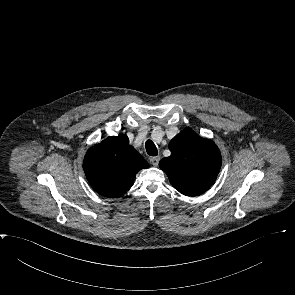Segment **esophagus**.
<instances>
[{
  "mask_svg": "<svg viewBox=\"0 0 295 295\" xmlns=\"http://www.w3.org/2000/svg\"><path fill=\"white\" fill-rule=\"evenodd\" d=\"M149 160L152 165L157 166L160 161V156L150 157Z\"/></svg>",
  "mask_w": 295,
  "mask_h": 295,
  "instance_id": "1",
  "label": "esophagus"
}]
</instances>
